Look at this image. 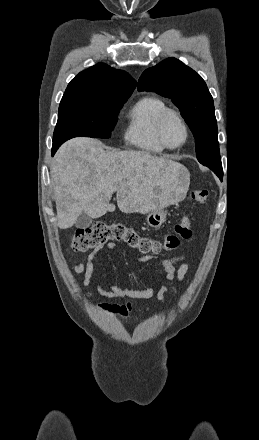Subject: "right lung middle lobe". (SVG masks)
I'll return each mask as SVG.
<instances>
[{
    "label": "right lung middle lobe",
    "mask_w": 259,
    "mask_h": 440,
    "mask_svg": "<svg viewBox=\"0 0 259 440\" xmlns=\"http://www.w3.org/2000/svg\"><path fill=\"white\" fill-rule=\"evenodd\" d=\"M127 99L107 104L62 99L53 143L62 144L77 136L110 138L117 114Z\"/></svg>",
    "instance_id": "obj_1"
}]
</instances>
